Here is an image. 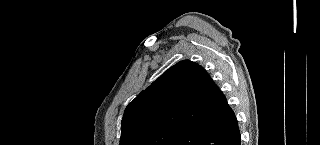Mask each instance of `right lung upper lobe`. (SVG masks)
<instances>
[{
    "mask_svg": "<svg viewBox=\"0 0 320 145\" xmlns=\"http://www.w3.org/2000/svg\"><path fill=\"white\" fill-rule=\"evenodd\" d=\"M223 98L200 65L178 62L126 107L120 145H134L151 133L203 122L217 113Z\"/></svg>",
    "mask_w": 320,
    "mask_h": 145,
    "instance_id": "right-lung-upper-lobe-1",
    "label": "right lung upper lobe"
}]
</instances>
